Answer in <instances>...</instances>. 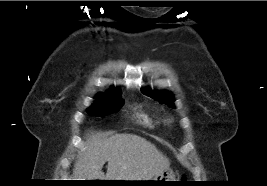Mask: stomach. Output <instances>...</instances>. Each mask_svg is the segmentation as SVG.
I'll use <instances>...</instances> for the list:
<instances>
[{
	"mask_svg": "<svg viewBox=\"0 0 267 186\" xmlns=\"http://www.w3.org/2000/svg\"><path fill=\"white\" fill-rule=\"evenodd\" d=\"M147 181H153V182H148L147 185L151 186H165V185H170L169 183L171 182H165V181H176L175 180V173L171 169H166L156 175L153 179L147 180Z\"/></svg>",
	"mask_w": 267,
	"mask_h": 186,
	"instance_id": "obj_1",
	"label": "stomach"
}]
</instances>
